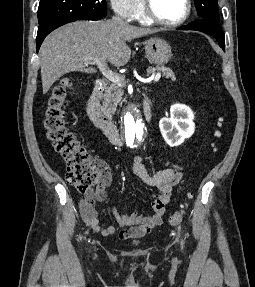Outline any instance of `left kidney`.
Here are the masks:
<instances>
[{
	"label": "left kidney",
	"instance_id": "left-kidney-1",
	"mask_svg": "<svg viewBox=\"0 0 255 287\" xmlns=\"http://www.w3.org/2000/svg\"><path fill=\"white\" fill-rule=\"evenodd\" d=\"M171 118H161L159 122L160 132L166 144L180 145L185 138H191L194 134V114L185 104H173L170 108Z\"/></svg>",
	"mask_w": 255,
	"mask_h": 287
}]
</instances>
